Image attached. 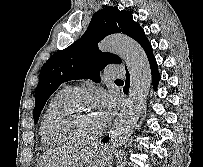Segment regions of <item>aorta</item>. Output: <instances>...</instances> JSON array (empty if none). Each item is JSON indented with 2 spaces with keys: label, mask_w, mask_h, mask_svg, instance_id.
<instances>
[{
  "label": "aorta",
  "mask_w": 203,
  "mask_h": 167,
  "mask_svg": "<svg viewBox=\"0 0 203 167\" xmlns=\"http://www.w3.org/2000/svg\"><path fill=\"white\" fill-rule=\"evenodd\" d=\"M99 49L119 55L130 73L129 98L109 136L110 143L119 147L133 133L146 103L151 84L150 64L143 48L135 40L124 35L106 37L99 44Z\"/></svg>",
  "instance_id": "obj_1"
}]
</instances>
